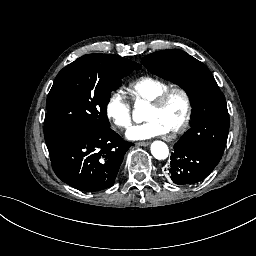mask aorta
<instances>
[{
	"instance_id": "1",
	"label": "aorta",
	"mask_w": 256,
	"mask_h": 256,
	"mask_svg": "<svg viewBox=\"0 0 256 256\" xmlns=\"http://www.w3.org/2000/svg\"><path fill=\"white\" fill-rule=\"evenodd\" d=\"M151 154L156 160L163 161L169 156V148L166 143L155 141L151 145Z\"/></svg>"
}]
</instances>
